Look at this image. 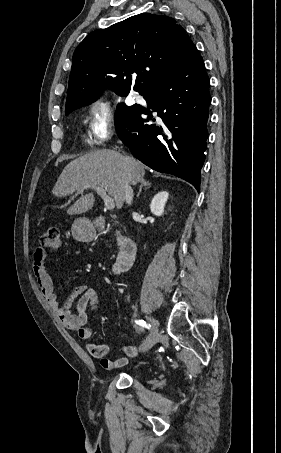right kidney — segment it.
Here are the masks:
<instances>
[{
	"mask_svg": "<svg viewBox=\"0 0 281 453\" xmlns=\"http://www.w3.org/2000/svg\"><path fill=\"white\" fill-rule=\"evenodd\" d=\"M168 198V192L166 190H161V192H157L155 196H153L150 204V210L156 216H161L164 212V206L166 204V200Z\"/></svg>",
	"mask_w": 281,
	"mask_h": 453,
	"instance_id": "ca27d5eb",
	"label": "right kidney"
}]
</instances>
